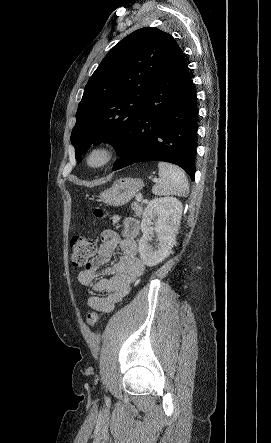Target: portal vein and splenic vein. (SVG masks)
Returning <instances> with one entry per match:
<instances>
[{
  "label": "portal vein and splenic vein",
  "mask_w": 271,
  "mask_h": 443,
  "mask_svg": "<svg viewBox=\"0 0 271 443\" xmlns=\"http://www.w3.org/2000/svg\"><path fill=\"white\" fill-rule=\"evenodd\" d=\"M153 180H154V182H158V180H156V178H153ZM143 198H144V191H138L137 198H136L137 202H142Z\"/></svg>",
  "instance_id": "1"
}]
</instances>
